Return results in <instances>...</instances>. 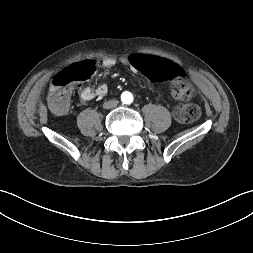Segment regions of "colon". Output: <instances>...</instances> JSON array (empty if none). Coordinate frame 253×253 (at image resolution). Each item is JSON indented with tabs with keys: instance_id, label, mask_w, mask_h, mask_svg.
Returning a JSON list of instances; mask_svg holds the SVG:
<instances>
[{
	"instance_id": "colon-1",
	"label": "colon",
	"mask_w": 253,
	"mask_h": 253,
	"mask_svg": "<svg viewBox=\"0 0 253 253\" xmlns=\"http://www.w3.org/2000/svg\"><path fill=\"white\" fill-rule=\"evenodd\" d=\"M130 61L132 66L147 78L175 83L172 94L176 99L186 101L193 95L192 86L182 80L184 69L179 63L153 57L143 52L132 54ZM94 71L95 65L92 61H83L57 74L50 89L51 107L58 113L65 112L69 106L70 87L75 83L87 80ZM200 114V108L192 103L179 105L174 111L176 120L181 123L194 122L200 117Z\"/></svg>"
}]
</instances>
